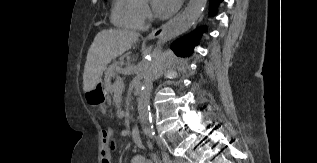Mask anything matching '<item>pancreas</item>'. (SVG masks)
Listing matches in <instances>:
<instances>
[{
  "mask_svg": "<svg viewBox=\"0 0 317 163\" xmlns=\"http://www.w3.org/2000/svg\"><path fill=\"white\" fill-rule=\"evenodd\" d=\"M117 66H118V64L116 62H114L105 71V90L108 93L115 92L114 84L111 83V79L115 78L117 75V73H116Z\"/></svg>",
  "mask_w": 317,
  "mask_h": 163,
  "instance_id": "cf45deb5",
  "label": "pancreas"
}]
</instances>
